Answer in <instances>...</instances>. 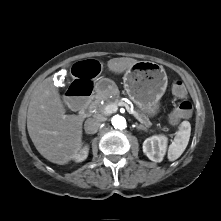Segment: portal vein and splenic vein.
Wrapping results in <instances>:
<instances>
[{
    "instance_id": "1",
    "label": "portal vein and splenic vein",
    "mask_w": 221,
    "mask_h": 221,
    "mask_svg": "<svg viewBox=\"0 0 221 221\" xmlns=\"http://www.w3.org/2000/svg\"><path fill=\"white\" fill-rule=\"evenodd\" d=\"M118 106H121L120 104H109L107 105L105 108H104V113L105 114H111V113H114L118 110ZM128 112L130 114H132V112L127 108ZM137 118V117H136ZM138 119V118H137ZM140 121V119H138Z\"/></svg>"
}]
</instances>
